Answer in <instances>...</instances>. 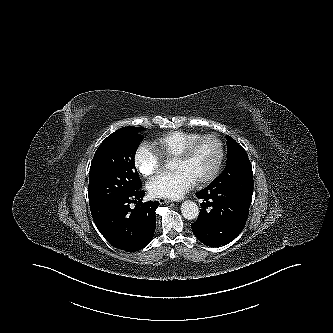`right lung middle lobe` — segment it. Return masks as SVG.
I'll return each mask as SVG.
<instances>
[{
    "label": "right lung middle lobe",
    "instance_id": "1",
    "mask_svg": "<svg viewBox=\"0 0 333 333\" xmlns=\"http://www.w3.org/2000/svg\"><path fill=\"white\" fill-rule=\"evenodd\" d=\"M140 127H123L109 135L97 149L89 172L88 197L93 206L129 194L141 186L134 157L143 137Z\"/></svg>",
    "mask_w": 333,
    "mask_h": 333
}]
</instances>
